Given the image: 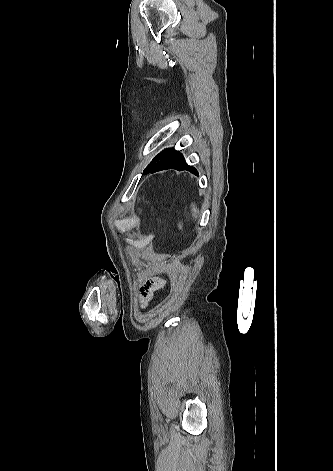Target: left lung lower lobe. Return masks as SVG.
Masks as SVG:
<instances>
[{"label":"left lung lower lobe","instance_id":"left-lung-lower-lobe-1","mask_svg":"<svg viewBox=\"0 0 333 471\" xmlns=\"http://www.w3.org/2000/svg\"><path fill=\"white\" fill-rule=\"evenodd\" d=\"M169 169H176L178 171L187 170L195 175H198V172L193 166H190L184 160L182 154L177 153L172 157L168 164Z\"/></svg>","mask_w":333,"mask_h":471}]
</instances>
